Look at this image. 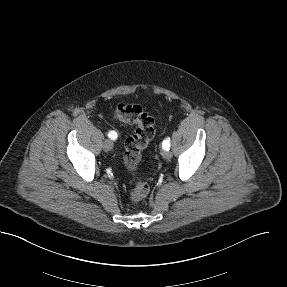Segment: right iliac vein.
Returning a JSON list of instances; mask_svg holds the SVG:
<instances>
[{
  "mask_svg": "<svg viewBox=\"0 0 287 287\" xmlns=\"http://www.w3.org/2000/svg\"><path fill=\"white\" fill-rule=\"evenodd\" d=\"M113 147V143L112 141L110 140H105L104 143H103V149L107 152V151H110Z\"/></svg>",
  "mask_w": 287,
  "mask_h": 287,
  "instance_id": "obj_1",
  "label": "right iliac vein"
}]
</instances>
